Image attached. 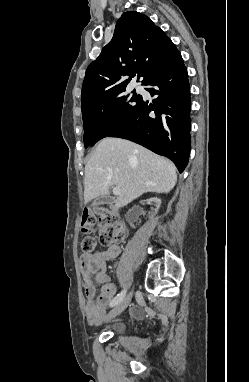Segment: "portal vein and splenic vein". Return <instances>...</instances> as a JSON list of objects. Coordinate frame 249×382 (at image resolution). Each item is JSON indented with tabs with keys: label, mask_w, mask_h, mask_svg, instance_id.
<instances>
[{
	"label": "portal vein and splenic vein",
	"mask_w": 249,
	"mask_h": 382,
	"mask_svg": "<svg viewBox=\"0 0 249 382\" xmlns=\"http://www.w3.org/2000/svg\"><path fill=\"white\" fill-rule=\"evenodd\" d=\"M112 191H113V194H114V195H118V196L121 195V191H120V189L117 188V187H113Z\"/></svg>",
	"instance_id": "portal-vein-and-splenic-vein-1"
}]
</instances>
